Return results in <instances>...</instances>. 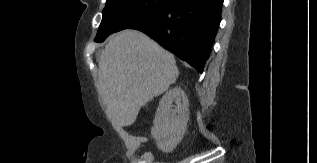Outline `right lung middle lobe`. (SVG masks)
<instances>
[{
    "mask_svg": "<svg viewBox=\"0 0 317 163\" xmlns=\"http://www.w3.org/2000/svg\"><path fill=\"white\" fill-rule=\"evenodd\" d=\"M170 0H107L96 42L114 32L127 29L162 9Z\"/></svg>",
    "mask_w": 317,
    "mask_h": 163,
    "instance_id": "dd1d6c3e",
    "label": "right lung middle lobe"
}]
</instances>
